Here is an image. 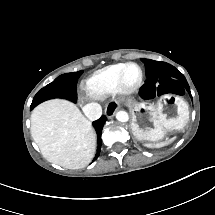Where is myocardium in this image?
Masks as SVG:
<instances>
[{
  "mask_svg": "<svg viewBox=\"0 0 215 215\" xmlns=\"http://www.w3.org/2000/svg\"><path fill=\"white\" fill-rule=\"evenodd\" d=\"M126 67H133L137 72L136 78L127 86H122L126 71ZM143 82V72L141 67L135 62L121 63L119 68V73H117L116 84L114 85V93L119 99H122L125 95H130L134 93Z\"/></svg>",
  "mask_w": 215,
  "mask_h": 215,
  "instance_id": "f54148a6",
  "label": "myocardium"
}]
</instances>
